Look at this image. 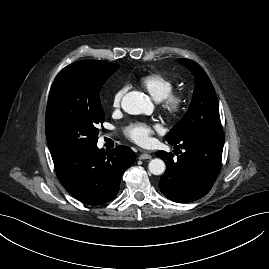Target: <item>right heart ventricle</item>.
Here are the masks:
<instances>
[{
  "label": "right heart ventricle",
  "mask_w": 269,
  "mask_h": 269,
  "mask_svg": "<svg viewBox=\"0 0 269 269\" xmlns=\"http://www.w3.org/2000/svg\"><path fill=\"white\" fill-rule=\"evenodd\" d=\"M140 85L156 101L164 99L175 88L174 81L161 73H150L143 76L140 79Z\"/></svg>",
  "instance_id": "obj_1"
}]
</instances>
